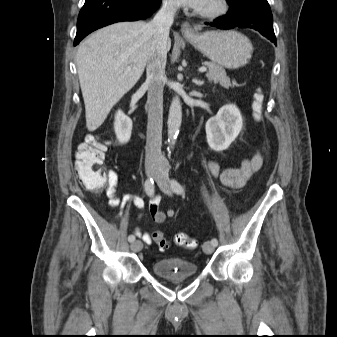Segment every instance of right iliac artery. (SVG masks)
<instances>
[{
    "label": "right iliac artery",
    "mask_w": 337,
    "mask_h": 337,
    "mask_svg": "<svg viewBox=\"0 0 337 337\" xmlns=\"http://www.w3.org/2000/svg\"><path fill=\"white\" fill-rule=\"evenodd\" d=\"M145 192L148 196H153L154 195V181L152 178H148L146 181H145ZM135 240V236L134 235H129L128 236V241L129 242H133Z\"/></svg>",
    "instance_id": "right-iliac-artery-1"
}]
</instances>
